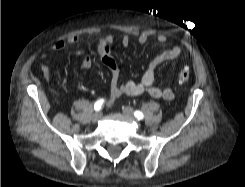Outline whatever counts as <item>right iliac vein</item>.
<instances>
[{
    "instance_id": "obj_1",
    "label": "right iliac vein",
    "mask_w": 245,
    "mask_h": 187,
    "mask_svg": "<svg viewBox=\"0 0 245 187\" xmlns=\"http://www.w3.org/2000/svg\"><path fill=\"white\" fill-rule=\"evenodd\" d=\"M102 117V113L101 112H95L93 115H92V122H97L100 120V118Z\"/></svg>"
}]
</instances>
